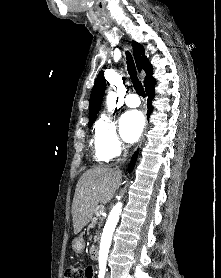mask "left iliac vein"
Listing matches in <instances>:
<instances>
[{
  "label": "left iliac vein",
  "mask_w": 221,
  "mask_h": 278,
  "mask_svg": "<svg viewBox=\"0 0 221 278\" xmlns=\"http://www.w3.org/2000/svg\"><path fill=\"white\" fill-rule=\"evenodd\" d=\"M105 278H110V275H109V273H107V274H106V277H105Z\"/></svg>",
  "instance_id": "obj_1"
}]
</instances>
